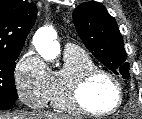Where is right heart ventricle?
<instances>
[{"mask_svg":"<svg viewBox=\"0 0 142 119\" xmlns=\"http://www.w3.org/2000/svg\"><path fill=\"white\" fill-rule=\"evenodd\" d=\"M94 66L93 60L84 50L79 48L65 50L63 69L51 73L48 98L50 104L62 111H72L63 98L64 82L67 77Z\"/></svg>","mask_w":142,"mask_h":119,"instance_id":"e07e8e85","label":"right heart ventricle"}]
</instances>
